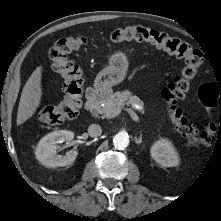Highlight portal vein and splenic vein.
Segmentation results:
<instances>
[{
    "label": "portal vein and splenic vein",
    "instance_id": "obj_1",
    "mask_svg": "<svg viewBox=\"0 0 221 221\" xmlns=\"http://www.w3.org/2000/svg\"><path fill=\"white\" fill-rule=\"evenodd\" d=\"M125 110L129 113V115L135 122H139V117L131 108H125ZM120 112H121V109H112V110L107 111L104 115L106 118L111 119V118L118 116Z\"/></svg>",
    "mask_w": 221,
    "mask_h": 221
}]
</instances>
